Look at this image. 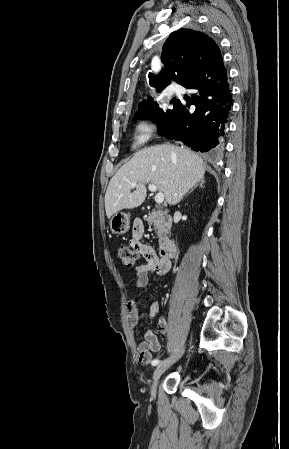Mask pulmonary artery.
<instances>
[{
  "label": "pulmonary artery",
  "instance_id": "pulmonary-artery-1",
  "mask_svg": "<svg viewBox=\"0 0 289 449\" xmlns=\"http://www.w3.org/2000/svg\"><path fill=\"white\" fill-rule=\"evenodd\" d=\"M173 93H174V90H168L167 93H166V95H167L168 97H171V96L173 95Z\"/></svg>",
  "mask_w": 289,
  "mask_h": 449
}]
</instances>
